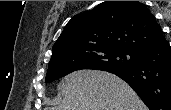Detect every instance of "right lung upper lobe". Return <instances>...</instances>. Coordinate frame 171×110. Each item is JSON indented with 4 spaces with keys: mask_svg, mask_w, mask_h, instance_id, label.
<instances>
[{
    "mask_svg": "<svg viewBox=\"0 0 171 110\" xmlns=\"http://www.w3.org/2000/svg\"><path fill=\"white\" fill-rule=\"evenodd\" d=\"M164 39L146 5L138 1H105L67 23L52 48L51 58L102 48L138 52Z\"/></svg>",
    "mask_w": 171,
    "mask_h": 110,
    "instance_id": "right-lung-upper-lobe-1",
    "label": "right lung upper lobe"
}]
</instances>
